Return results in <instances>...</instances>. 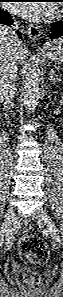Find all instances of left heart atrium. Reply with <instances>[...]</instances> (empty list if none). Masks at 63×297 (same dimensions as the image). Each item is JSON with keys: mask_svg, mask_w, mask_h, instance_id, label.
I'll return each mask as SVG.
<instances>
[{"mask_svg": "<svg viewBox=\"0 0 63 297\" xmlns=\"http://www.w3.org/2000/svg\"><path fill=\"white\" fill-rule=\"evenodd\" d=\"M9 8L26 18L31 20H41L50 13V8L47 4L39 3H12Z\"/></svg>", "mask_w": 63, "mask_h": 297, "instance_id": "39dd6f15", "label": "left heart atrium"}]
</instances>
